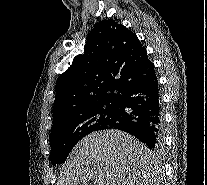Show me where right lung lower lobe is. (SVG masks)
Instances as JSON below:
<instances>
[{"mask_svg":"<svg viewBox=\"0 0 207 185\" xmlns=\"http://www.w3.org/2000/svg\"><path fill=\"white\" fill-rule=\"evenodd\" d=\"M117 120L103 129L132 134L156 150L162 144L163 116L156 75L132 82L117 99Z\"/></svg>","mask_w":207,"mask_h":185,"instance_id":"right-lung-lower-lobe-1","label":"right lung lower lobe"}]
</instances>
